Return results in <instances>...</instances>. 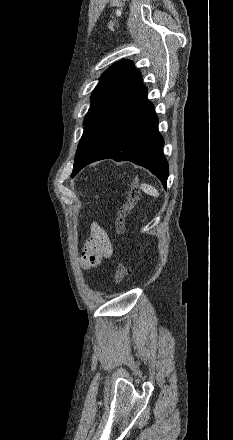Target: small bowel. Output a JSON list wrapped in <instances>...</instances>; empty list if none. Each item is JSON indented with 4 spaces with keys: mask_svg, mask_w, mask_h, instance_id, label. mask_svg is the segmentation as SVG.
I'll list each match as a JSON object with an SVG mask.
<instances>
[{
    "mask_svg": "<svg viewBox=\"0 0 233 440\" xmlns=\"http://www.w3.org/2000/svg\"><path fill=\"white\" fill-rule=\"evenodd\" d=\"M113 246L106 231L97 223L91 226V235L85 241L80 264L83 268L98 267L102 260L110 258Z\"/></svg>",
    "mask_w": 233,
    "mask_h": 440,
    "instance_id": "1",
    "label": "small bowel"
}]
</instances>
